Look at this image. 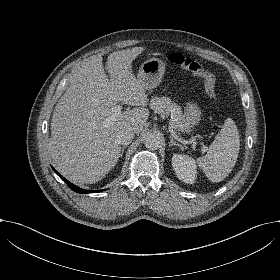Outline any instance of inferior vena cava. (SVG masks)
<instances>
[{"instance_id":"602c4592","label":"inferior vena cava","mask_w":280,"mask_h":280,"mask_svg":"<svg viewBox=\"0 0 280 280\" xmlns=\"http://www.w3.org/2000/svg\"><path fill=\"white\" fill-rule=\"evenodd\" d=\"M116 137L120 144L128 145L134 139L135 133L130 130L119 131L117 132Z\"/></svg>"}]
</instances>
